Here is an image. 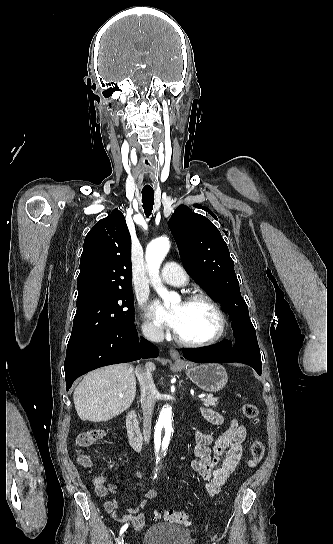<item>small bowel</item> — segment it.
<instances>
[{"label": "small bowel", "mask_w": 333, "mask_h": 544, "mask_svg": "<svg viewBox=\"0 0 333 544\" xmlns=\"http://www.w3.org/2000/svg\"><path fill=\"white\" fill-rule=\"evenodd\" d=\"M201 412L203 417L214 425H221L224 422L223 416L212 408H202ZM245 438L246 429L236 420H232L228 428L218 436L196 432L193 449L195 459L191 461L190 466L206 480L205 489L209 496L217 495L236 469L242 456ZM135 475L138 479H143L140 470H136ZM94 486L96 495L101 498L115 494L118 490V486L115 483H107L105 477H97ZM156 493L155 489L143 493L138 506L124 512L119 511L116 500L108 499L104 502V510L118 523L131 525L136 531H140L146 524L142 510L147 508V500L154 498Z\"/></svg>", "instance_id": "obj_1"}]
</instances>
